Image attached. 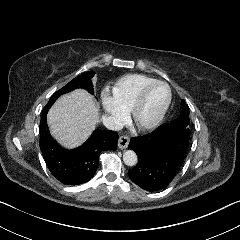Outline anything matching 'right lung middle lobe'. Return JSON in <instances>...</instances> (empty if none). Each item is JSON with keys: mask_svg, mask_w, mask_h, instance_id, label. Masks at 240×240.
<instances>
[{"mask_svg": "<svg viewBox=\"0 0 240 240\" xmlns=\"http://www.w3.org/2000/svg\"><path fill=\"white\" fill-rule=\"evenodd\" d=\"M93 76L94 72L88 71L71 80L63 88H61L60 90L53 94V96L48 101L47 105L44 107L42 114H46L48 112L50 107L54 104V102L58 99L60 95L73 91L76 88H84L93 94V87L91 82V78Z\"/></svg>", "mask_w": 240, "mask_h": 240, "instance_id": "1", "label": "right lung middle lobe"}]
</instances>
